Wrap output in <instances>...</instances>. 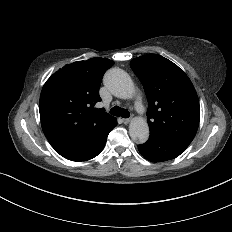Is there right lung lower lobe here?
Segmentation results:
<instances>
[{"mask_svg": "<svg viewBox=\"0 0 232 232\" xmlns=\"http://www.w3.org/2000/svg\"><path fill=\"white\" fill-rule=\"evenodd\" d=\"M117 125L114 118L108 125L71 139H48L61 156L72 161H86L104 148L109 132Z\"/></svg>", "mask_w": 232, "mask_h": 232, "instance_id": "1", "label": "right lung lower lobe"}]
</instances>
